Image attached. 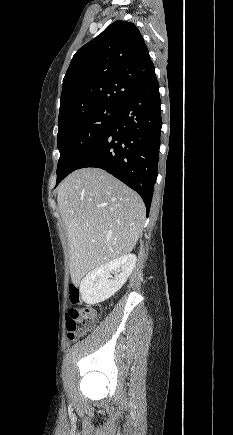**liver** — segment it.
Returning a JSON list of instances; mask_svg holds the SVG:
<instances>
[{
    "label": "liver",
    "mask_w": 233,
    "mask_h": 435,
    "mask_svg": "<svg viewBox=\"0 0 233 435\" xmlns=\"http://www.w3.org/2000/svg\"><path fill=\"white\" fill-rule=\"evenodd\" d=\"M57 202L65 222L72 282L130 253L145 221L141 197L99 168H83L67 176Z\"/></svg>",
    "instance_id": "1"
}]
</instances>
